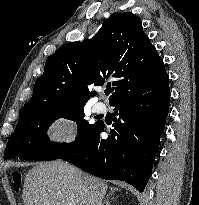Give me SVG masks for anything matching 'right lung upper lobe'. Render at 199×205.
Listing matches in <instances>:
<instances>
[{"instance_id":"1","label":"right lung upper lobe","mask_w":199,"mask_h":205,"mask_svg":"<svg viewBox=\"0 0 199 205\" xmlns=\"http://www.w3.org/2000/svg\"><path fill=\"white\" fill-rule=\"evenodd\" d=\"M165 71L163 60L131 12L114 13L97 34L82 42L60 46L46 61L32 98L26 103L86 104L96 95L93 86L108 81L115 92L110 103L129 91L134 82ZM25 104V105H26Z\"/></svg>"}]
</instances>
